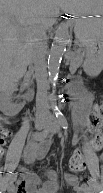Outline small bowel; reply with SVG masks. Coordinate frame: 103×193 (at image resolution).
<instances>
[{
	"label": "small bowel",
	"instance_id": "c3829d8e",
	"mask_svg": "<svg viewBox=\"0 0 103 193\" xmlns=\"http://www.w3.org/2000/svg\"><path fill=\"white\" fill-rule=\"evenodd\" d=\"M94 95L89 92H81L76 98V104L78 107V114L81 118L83 126L89 124V117L94 111L93 109ZM8 122V121H6ZM11 135L8 131L7 137ZM81 139V130H78L73 142L76 144ZM5 142V141H4ZM3 142V144H4ZM50 148V141L48 139L41 142H29L23 151V159L26 163L31 164L38 158H42L46 155ZM4 154V150H0V155ZM96 170L94 172V175ZM11 180L8 184V191H12L14 186L13 182L17 179L15 175L12 179V175H9ZM81 176L72 175L69 173L59 172L55 170H42L39 173L32 171L26 167H20V178L16 180L17 193H60L62 188H68L71 193H88L89 185L82 183ZM9 188V186H11Z\"/></svg>",
	"mask_w": 103,
	"mask_h": 193
}]
</instances>
